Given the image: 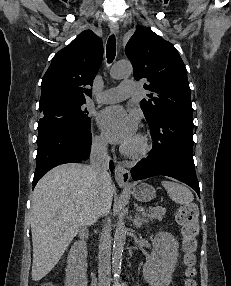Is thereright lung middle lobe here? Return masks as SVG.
Here are the masks:
<instances>
[{
	"label": "right lung middle lobe",
	"mask_w": 231,
	"mask_h": 286,
	"mask_svg": "<svg viewBox=\"0 0 231 286\" xmlns=\"http://www.w3.org/2000/svg\"><path fill=\"white\" fill-rule=\"evenodd\" d=\"M86 101H56L39 106L41 118L38 123V136L60 127L90 126L88 111L83 109Z\"/></svg>",
	"instance_id": "dd1d6c3e"
}]
</instances>
